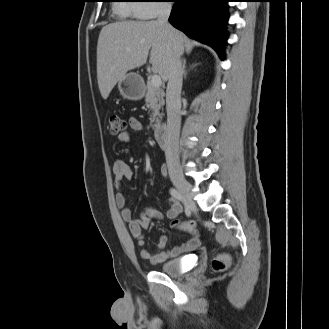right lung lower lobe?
<instances>
[{"mask_svg": "<svg viewBox=\"0 0 329 329\" xmlns=\"http://www.w3.org/2000/svg\"><path fill=\"white\" fill-rule=\"evenodd\" d=\"M176 2L169 22L188 37L213 47L224 59L229 18L227 2L231 0H170Z\"/></svg>", "mask_w": 329, "mask_h": 329, "instance_id": "1", "label": "right lung lower lobe"}]
</instances>
